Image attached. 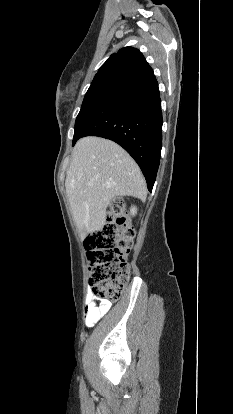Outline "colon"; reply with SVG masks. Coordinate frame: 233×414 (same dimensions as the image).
<instances>
[{
	"label": "colon",
	"mask_w": 233,
	"mask_h": 414,
	"mask_svg": "<svg viewBox=\"0 0 233 414\" xmlns=\"http://www.w3.org/2000/svg\"><path fill=\"white\" fill-rule=\"evenodd\" d=\"M134 236L133 228L127 224L123 201H113L105 226L85 242L94 296L110 301L120 299L130 277L127 257Z\"/></svg>",
	"instance_id": "5ec220e1"
}]
</instances>
